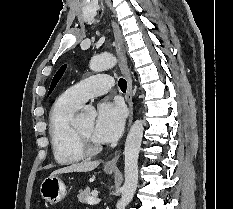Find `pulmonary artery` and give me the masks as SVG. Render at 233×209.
<instances>
[{
    "label": "pulmonary artery",
    "mask_w": 233,
    "mask_h": 209,
    "mask_svg": "<svg viewBox=\"0 0 233 209\" xmlns=\"http://www.w3.org/2000/svg\"><path fill=\"white\" fill-rule=\"evenodd\" d=\"M113 85V79L108 75L90 76L72 87L66 93L77 105L81 106L89 98L107 93Z\"/></svg>",
    "instance_id": "obj_1"
}]
</instances>
